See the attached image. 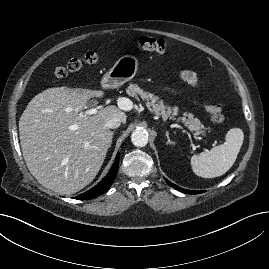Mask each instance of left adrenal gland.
Listing matches in <instances>:
<instances>
[{
	"label": "left adrenal gland",
	"mask_w": 269,
	"mask_h": 269,
	"mask_svg": "<svg viewBox=\"0 0 269 269\" xmlns=\"http://www.w3.org/2000/svg\"><path fill=\"white\" fill-rule=\"evenodd\" d=\"M166 137H167V144H170V145L174 144V142L170 140L168 131H166Z\"/></svg>",
	"instance_id": "1"
}]
</instances>
